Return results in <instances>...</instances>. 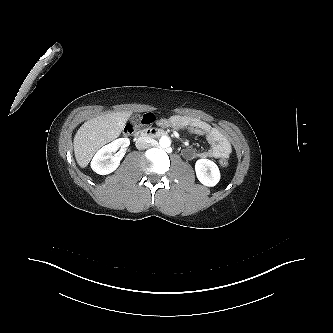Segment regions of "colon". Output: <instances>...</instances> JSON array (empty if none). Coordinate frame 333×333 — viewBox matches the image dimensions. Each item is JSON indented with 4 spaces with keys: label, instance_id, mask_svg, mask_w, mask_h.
Masks as SVG:
<instances>
[{
    "label": "colon",
    "instance_id": "1",
    "mask_svg": "<svg viewBox=\"0 0 333 333\" xmlns=\"http://www.w3.org/2000/svg\"><path fill=\"white\" fill-rule=\"evenodd\" d=\"M155 121V117L151 113H146L139 117L135 122H130L124 130L125 134H131L137 126H147L152 124ZM219 165L223 168L228 167L229 161L226 156H222L219 159Z\"/></svg>",
    "mask_w": 333,
    "mask_h": 333
}]
</instances>
